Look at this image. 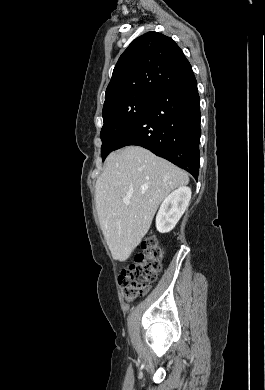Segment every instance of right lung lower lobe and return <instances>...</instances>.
<instances>
[{
  "label": "right lung lower lobe",
  "instance_id": "1",
  "mask_svg": "<svg viewBox=\"0 0 265 390\" xmlns=\"http://www.w3.org/2000/svg\"><path fill=\"white\" fill-rule=\"evenodd\" d=\"M200 98L192 68L162 90L120 138L115 150L142 146L188 171L199 173Z\"/></svg>",
  "mask_w": 265,
  "mask_h": 390
}]
</instances>
